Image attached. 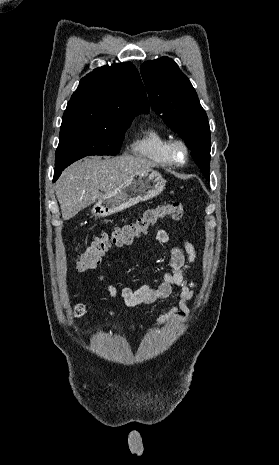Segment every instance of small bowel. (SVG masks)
<instances>
[{"label":"small bowel","instance_id":"small-bowel-1","mask_svg":"<svg viewBox=\"0 0 279 465\" xmlns=\"http://www.w3.org/2000/svg\"><path fill=\"white\" fill-rule=\"evenodd\" d=\"M155 239L159 244H166L169 241L168 232L165 229H157ZM196 259L194 246L186 239L183 242V249L173 246L170 249V272L165 274L162 282L157 287L142 285L137 289L129 287L117 288L112 285L104 287L111 298L120 299L128 307L152 304L158 300L168 298L176 287L180 291L179 304L167 313L158 316L153 323L162 325L174 320H182L186 317V302L196 296L195 289L197 283L188 281L186 272ZM100 282L104 277H99ZM112 315V312H109Z\"/></svg>","mask_w":279,"mask_h":465}]
</instances>
